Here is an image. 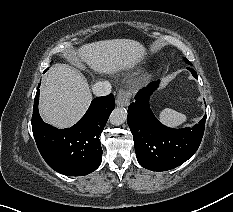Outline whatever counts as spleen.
I'll return each instance as SVG.
<instances>
[{
  "instance_id": "spleen-1",
  "label": "spleen",
  "mask_w": 233,
  "mask_h": 212,
  "mask_svg": "<svg viewBox=\"0 0 233 212\" xmlns=\"http://www.w3.org/2000/svg\"><path fill=\"white\" fill-rule=\"evenodd\" d=\"M160 121L170 127H178L186 121V116L173 109L165 108L159 114Z\"/></svg>"
}]
</instances>
